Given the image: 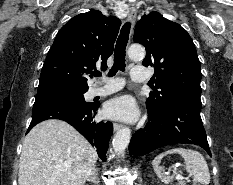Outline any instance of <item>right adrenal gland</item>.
<instances>
[{
    "mask_svg": "<svg viewBox=\"0 0 233 185\" xmlns=\"http://www.w3.org/2000/svg\"><path fill=\"white\" fill-rule=\"evenodd\" d=\"M98 168H95L92 174L87 178V181L93 182L98 185L99 183V178H98Z\"/></svg>",
    "mask_w": 233,
    "mask_h": 185,
    "instance_id": "2a0ac1e0",
    "label": "right adrenal gland"
}]
</instances>
